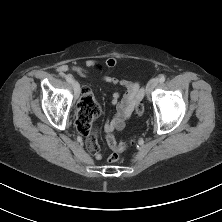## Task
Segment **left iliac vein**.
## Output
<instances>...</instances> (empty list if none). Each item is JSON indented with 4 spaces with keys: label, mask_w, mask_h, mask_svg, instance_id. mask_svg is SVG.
I'll use <instances>...</instances> for the list:
<instances>
[{
    "label": "left iliac vein",
    "mask_w": 222,
    "mask_h": 222,
    "mask_svg": "<svg viewBox=\"0 0 222 222\" xmlns=\"http://www.w3.org/2000/svg\"><path fill=\"white\" fill-rule=\"evenodd\" d=\"M159 80L157 78L151 79L146 86V94L149 95L152 90L158 85Z\"/></svg>",
    "instance_id": "left-iliac-vein-1"
}]
</instances>
